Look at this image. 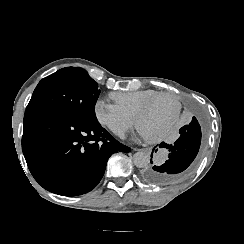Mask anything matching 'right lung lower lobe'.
<instances>
[{"instance_id":"obj_1","label":"right lung lower lobe","mask_w":244,"mask_h":244,"mask_svg":"<svg viewBox=\"0 0 244 244\" xmlns=\"http://www.w3.org/2000/svg\"><path fill=\"white\" fill-rule=\"evenodd\" d=\"M22 150L35 180L64 196L91 191L101 180L108 158L131 149L102 128L44 108L26 109Z\"/></svg>"}]
</instances>
